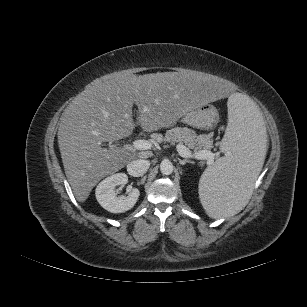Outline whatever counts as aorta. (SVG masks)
I'll list each match as a JSON object with an SVG mask.
<instances>
[{"mask_svg": "<svg viewBox=\"0 0 307 307\" xmlns=\"http://www.w3.org/2000/svg\"><path fill=\"white\" fill-rule=\"evenodd\" d=\"M173 169H174V166L169 160H164L160 164V171L163 175L172 174Z\"/></svg>", "mask_w": 307, "mask_h": 307, "instance_id": "1", "label": "aorta"}]
</instances>
